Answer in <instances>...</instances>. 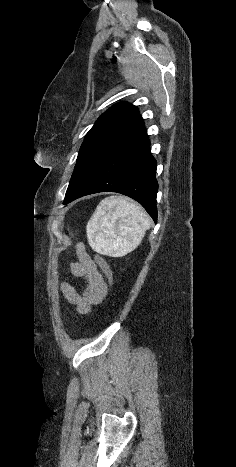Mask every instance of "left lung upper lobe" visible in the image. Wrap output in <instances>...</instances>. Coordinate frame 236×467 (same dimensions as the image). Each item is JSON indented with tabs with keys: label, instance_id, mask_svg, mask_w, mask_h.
<instances>
[{
	"label": "left lung upper lobe",
	"instance_id": "left-lung-upper-lobe-1",
	"mask_svg": "<svg viewBox=\"0 0 236 467\" xmlns=\"http://www.w3.org/2000/svg\"><path fill=\"white\" fill-rule=\"evenodd\" d=\"M141 120L137 107L125 102L115 104L99 117L81 145L65 199L84 184L108 148Z\"/></svg>",
	"mask_w": 236,
	"mask_h": 467
}]
</instances>
